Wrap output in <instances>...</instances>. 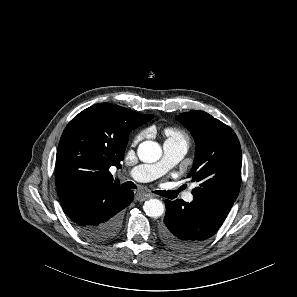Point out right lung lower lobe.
<instances>
[{"instance_id": "right-lung-lower-lobe-1", "label": "right lung lower lobe", "mask_w": 297, "mask_h": 297, "mask_svg": "<svg viewBox=\"0 0 297 297\" xmlns=\"http://www.w3.org/2000/svg\"><path fill=\"white\" fill-rule=\"evenodd\" d=\"M134 193L120 185H85L61 201L74 227L87 239L105 242L114 238L122 224V210Z\"/></svg>"}]
</instances>
